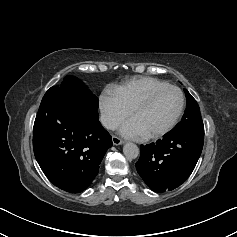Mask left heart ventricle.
<instances>
[{
  "instance_id": "1",
  "label": "left heart ventricle",
  "mask_w": 237,
  "mask_h": 237,
  "mask_svg": "<svg viewBox=\"0 0 237 237\" xmlns=\"http://www.w3.org/2000/svg\"><path fill=\"white\" fill-rule=\"evenodd\" d=\"M180 96L175 90L158 94L144 107L136 110L133 119L144 135L155 133L167 126L178 111Z\"/></svg>"
}]
</instances>
